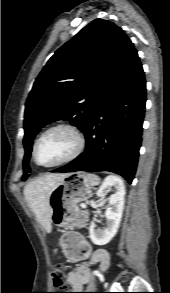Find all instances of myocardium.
Here are the masks:
<instances>
[{
	"label": "myocardium",
	"instance_id": "myocardium-1",
	"mask_svg": "<svg viewBox=\"0 0 170 293\" xmlns=\"http://www.w3.org/2000/svg\"><path fill=\"white\" fill-rule=\"evenodd\" d=\"M67 129L69 130L71 133L74 134L75 138H76V148L75 150L66 158L58 161V162H55V163H52V164H43V163H40L37 159V147H38V144L39 142L42 140V138L48 134L49 132L55 130V129ZM85 149V139L82 135V133L76 128L74 127L73 125H70V124H66V123H58V124H54L50 127H48L47 129H45L39 136L38 138L35 140L34 142V145H33V149H32V157H33V160L34 162L38 165V166H41V167H44V168H53V167H58V166H61V165H64L66 163H69L73 160H75L76 158H78L82 152L84 151Z\"/></svg>",
	"mask_w": 170,
	"mask_h": 293
}]
</instances>
